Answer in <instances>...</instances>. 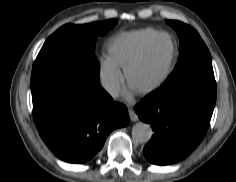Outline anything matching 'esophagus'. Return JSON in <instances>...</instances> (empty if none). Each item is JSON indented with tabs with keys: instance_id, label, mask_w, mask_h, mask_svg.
I'll list each match as a JSON object with an SVG mask.
<instances>
[{
	"instance_id": "1",
	"label": "esophagus",
	"mask_w": 236,
	"mask_h": 182,
	"mask_svg": "<svg viewBox=\"0 0 236 182\" xmlns=\"http://www.w3.org/2000/svg\"><path fill=\"white\" fill-rule=\"evenodd\" d=\"M128 113H129L130 119L132 121H136L138 119L137 114L135 113V111L132 108L128 109Z\"/></svg>"
}]
</instances>
